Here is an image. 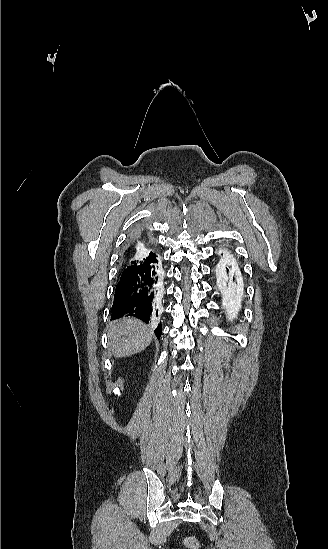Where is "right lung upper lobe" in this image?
<instances>
[{
    "label": "right lung upper lobe",
    "mask_w": 328,
    "mask_h": 549,
    "mask_svg": "<svg viewBox=\"0 0 328 549\" xmlns=\"http://www.w3.org/2000/svg\"><path fill=\"white\" fill-rule=\"evenodd\" d=\"M131 251L123 260V273H127L136 268L142 261L153 258L156 255V249L152 238L146 232L136 234Z\"/></svg>",
    "instance_id": "obj_1"
}]
</instances>
